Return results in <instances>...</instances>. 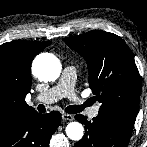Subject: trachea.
<instances>
[{"instance_id": "3493384b", "label": "trachea", "mask_w": 147, "mask_h": 147, "mask_svg": "<svg viewBox=\"0 0 147 147\" xmlns=\"http://www.w3.org/2000/svg\"><path fill=\"white\" fill-rule=\"evenodd\" d=\"M85 105H87V103H85ZM85 105H72V106H68L65 109V112H67L69 114H75V113L81 112L83 110V107H85ZM38 108H39V110L41 112L45 111V107L43 105H40Z\"/></svg>"}]
</instances>
